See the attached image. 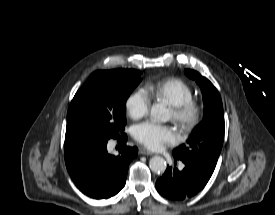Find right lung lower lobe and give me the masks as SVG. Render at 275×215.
<instances>
[{"label": "right lung lower lobe", "mask_w": 275, "mask_h": 215, "mask_svg": "<svg viewBox=\"0 0 275 215\" xmlns=\"http://www.w3.org/2000/svg\"><path fill=\"white\" fill-rule=\"evenodd\" d=\"M123 138L127 139L125 134ZM107 142L65 143V163L71 179L81 192L95 199L116 195L125 185L130 162L137 157L138 149L126 145L118 156L109 154Z\"/></svg>", "instance_id": "right-lung-lower-lobe-1"}]
</instances>
